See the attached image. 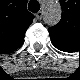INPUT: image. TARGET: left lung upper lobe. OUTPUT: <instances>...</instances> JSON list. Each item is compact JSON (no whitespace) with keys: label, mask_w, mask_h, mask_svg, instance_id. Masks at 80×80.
<instances>
[{"label":"left lung upper lobe","mask_w":80,"mask_h":80,"mask_svg":"<svg viewBox=\"0 0 80 80\" xmlns=\"http://www.w3.org/2000/svg\"><path fill=\"white\" fill-rule=\"evenodd\" d=\"M60 2L63 11L62 19L56 26L51 27L48 31L53 40H55L56 35L58 40L64 44H68L73 37L80 36V18L78 19L72 14L67 2L63 0Z\"/></svg>","instance_id":"left-lung-upper-lobe-1"}]
</instances>
